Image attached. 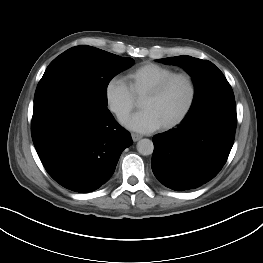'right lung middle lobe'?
I'll return each instance as SVG.
<instances>
[{
	"label": "right lung middle lobe",
	"instance_id": "dd1d6c3e",
	"mask_svg": "<svg viewBox=\"0 0 263 263\" xmlns=\"http://www.w3.org/2000/svg\"><path fill=\"white\" fill-rule=\"evenodd\" d=\"M133 63L132 58L91 46L70 48L47 67L37 86L34 106L58 98L75 97L94 108L107 110L109 82Z\"/></svg>",
	"mask_w": 263,
	"mask_h": 263
}]
</instances>
